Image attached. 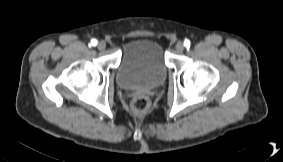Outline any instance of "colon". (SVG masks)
I'll return each instance as SVG.
<instances>
[{
  "mask_svg": "<svg viewBox=\"0 0 283 162\" xmlns=\"http://www.w3.org/2000/svg\"><path fill=\"white\" fill-rule=\"evenodd\" d=\"M150 106L149 99L144 95H138L132 100L131 107L136 113L145 112Z\"/></svg>",
  "mask_w": 283,
  "mask_h": 162,
  "instance_id": "colon-1",
  "label": "colon"
}]
</instances>
